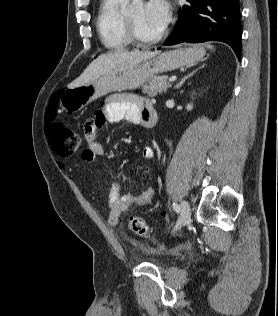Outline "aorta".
I'll return each mask as SVG.
<instances>
[{"mask_svg": "<svg viewBox=\"0 0 278 316\" xmlns=\"http://www.w3.org/2000/svg\"><path fill=\"white\" fill-rule=\"evenodd\" d=\"M142 0H132V3L129 6L130 10H133L136 6L140 5Z\"/></svg>", "mask_w": 278, "mask_h": 316, "instance_id": "1", "label": "aorta"}]
</instances>
